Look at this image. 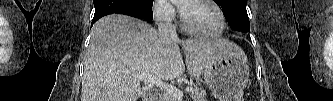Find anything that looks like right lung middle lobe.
I'll list each match as a JSON object with an SVG mask.
<instances>
[{
	"label": "right lung middle lobe",
	"instance_id": "right-lung-middle-lobe-1",
	"mask_svg": "<svg viewBox=\"0 0 333 101\" xmlns=\"http://www.w3.org/2000/svg\"><path fill=\"white\" fill-rule=\"evenodd\" d=\"M141 1L146 6V8L152 11L153 0H141Z\"/></svg>",
	"mask_w": 333,
	"mask_h": 101
}]
</instances>
